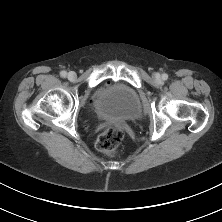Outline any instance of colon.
Segmentation results:
<instances>
[{"mask_svg":"<svg viewBox=\"0 0 222 222\" xmlns=\"http://www.w3.org/2000/svg\"><path fill=\"white\" fill-rule=\"evenodd\" d=\"M123 139V130L119 127H111L99 136L96 146L99 151L107 155H114L116 154Z\"/></svg>","mask_w":222,"mask_h":222,"instance_id":"1","label":"colon"}]
</instances>
